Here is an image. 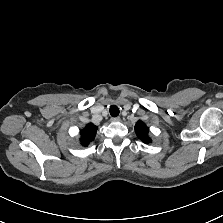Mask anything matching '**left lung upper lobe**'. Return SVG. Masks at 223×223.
Wrapping results in <instances>:
<instances>
[{
	"label": "left lung upper lobe",
	"instance_id": "1",
	"mask_svg": "<svg viewBox=\"0 0 223 223\" xmlns=\"http://www.w3.org/2000/svg\"><path fill=\"white\" fill-rule=\"evenodd\" d=\"M135 131L140 140H142L145 143L151 142V139L148 136V127L142 122L138 121L135 125Z\"/></svg>",
	"mask_w": 223,
	"mask_h": 223
}]
</instances>
